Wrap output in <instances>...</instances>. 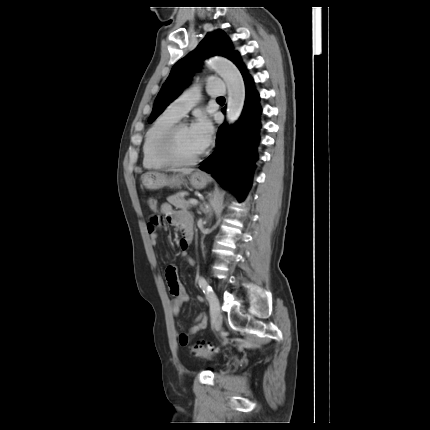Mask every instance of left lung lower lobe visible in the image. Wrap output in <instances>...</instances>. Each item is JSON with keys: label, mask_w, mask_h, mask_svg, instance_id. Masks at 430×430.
Instances as JSON below:
<instances>
[{"label": "left lung lower lobe", "mask_w": 430, "mask_h": 430, "mask_svg": "<svg viewBox=\"0 0 430 430\" xmlns=\"http://www.w3.org/2000/svg\"><path fill=\"white\" fill-rule=\"evenodd\" d=\"M242 76L246 99L241 117L234 126L219 128L217 147L200 167L201 170L212 174L224 188L233 190L238 195L239 202L244 200L251 184L254 162L257 159L256 146L259 142L261 112L252 78L246 71Z\"/></svg>", "instance_id": "1"}]
</instances>
